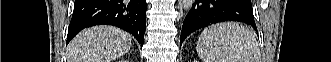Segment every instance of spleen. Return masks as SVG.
<instances>
[{"label": "spleen", "mask_w": 331, "mask_h": 62, "mask_svg": "<svg viewBox=\"0 0 331 62\" xmlns=\"http://www.w3.org/2000/svg\"><path fill=\"white\" fill-rule=\"evenodd\" d=\"M197 53L203 62H257L259 48L247 28L235 22H224L203 30Z\"/></svg>", "instance_id": "1"}]
</instances>
